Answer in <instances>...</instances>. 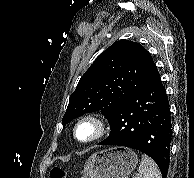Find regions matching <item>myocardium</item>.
<instances>
[{
  "label": "myocardium",
  "mask_w": 194,
  "mask_h": 178,
  "mask_svg": "<svg viewBox=\"0 0 194 178\" xmlns=\"http://www.w3.org/2000/svg\"><path fill=\"white\" fill-rule=\"evenodd\" d=\"M90 123L94 126V134L87 140H81L77 136V131L83 124ZM109 131V124L104 117L99 114H87L79 118L73 127V138L81 144H92L103 139Z\"/></svg>",
  "instance_id": "myocardium-1"
}]
</instances>
